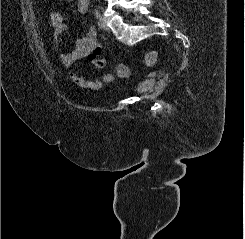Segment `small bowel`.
Instances as JSON below:
<instances>
[{
  "mask_svg": "<svg viewBox=\"0 0 245 239\" xmlns=\"http://www.w3.org/2000/svg\"><path fill=\"white\" fill-rule=\"evenodd\" d=\"M62 2L63 0H58ZM77 10L80 14H87L89 11V0H77ZM65 17L60 11H53L50 15V22L54 28V38H57L65 31ZM102 45L98 39L97 30L90 26L85 35L78 39L75 48L70 53L60 56L62 64L69 70V79L77 86L85 89L98 90L109 87L115 80V74L108 72L100 78H84L74 69L78 61L87 60L93 67L103 69L109 64V60L101 57Z\"/></svg>",
  "mask_w": 245,
  "mask_h": 239,
  "instance_id": "obj_1",
  "label": "small bowel"
}]
</instances>
